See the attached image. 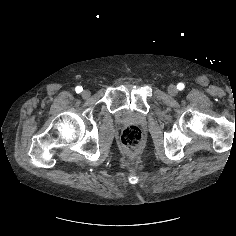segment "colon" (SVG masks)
<instances>
[{
  "label": "colon",
  "mask_w": 236,
  "mask_h": 236,
  "mask_svg": "<svg viewBox=\"0 0 236 236\" xmlns=\"http://www.w3.org/2000/svg\"><path fill=\"white\" fill-rule=\"evenodd\" d=\"M121 141L128 152H135L143 143L142 130L135 125L126 127L122 132Z\"/></svg>",
  "instance_id": "5ec220e1"
}]
</instances>
